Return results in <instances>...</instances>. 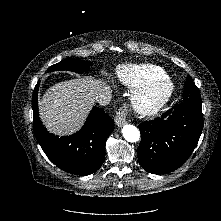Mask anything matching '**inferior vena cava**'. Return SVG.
Here are the masks:
<instances>
[{
  "instance_id": "602c4592",
  "label": "inferior vena cava",
  "mask_w": 221,
  "mask_h": 221,
  "mask_svg": "<svg viewBox=\"0 0 221 221\" xmlns=\"http://www.w3.org/2000/svg\"><path fill=\"white\" fill-rule=\"evenodd\" d=\"M112 99L111 91L109 89H104L96 95V102L101 106H106L110 103Z\"/></svg>"
}]
</instances>
